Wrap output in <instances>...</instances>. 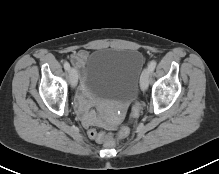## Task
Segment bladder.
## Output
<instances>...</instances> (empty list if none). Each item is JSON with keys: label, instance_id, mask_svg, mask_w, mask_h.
I'll return each mask as SVG.
<instances>
[{"label": "bladder", "instance_id": "1", "mask_svg": "<svg viewBox=\"0 0 219 174\" xmlns=\"http://www.w3.org/2000/svg\"><path fill=\"white\" fill-rule=\"evenodd\" d=\"M143 65L144 56L137 49L94 50L86 61L84 88L96 98L129 102L135 96Z\"/></svg>", "mask_w": 219, "mask_h": 174}]
</instances>
